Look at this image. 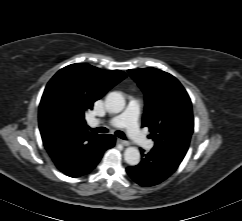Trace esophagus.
Returning <instances> with one entry per match:
<instances>
[{
    "label": "esophagus",
    "instance_id": "obj_1",
    "mask_svg": "<svg viewBox=\"0 0 242 221\" xmlns=\"http://www.w3.org/2000/svg\"><path fill=\"white\" fill-rule=\"evenodd\" d=\"M121 145H123V146H128V145H130V143L128 142V141H125V140H122V139H118L117 140Z\"/></svg>",
    "mask_w": 242,
    "mask_h": 221
}]
</instances>
